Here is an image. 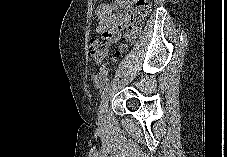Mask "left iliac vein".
<instances>
[{"label":"left iliac vein","instance_id":"4c4485c4","mask_svg":"<svg viewBox=\"0 0 227 157\" xmlns=\"http://www.w3.org/2000/svg\"><path fill=\"white\" fill-rule=\"evenodd\" d=\"M107 107H108V97H104L98 110V119L101 123L106 120Z\"/></svg>","mask_w":227,"mask_h":157}]
</instances>
